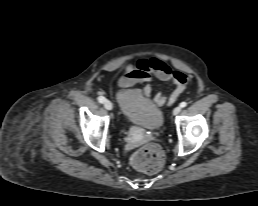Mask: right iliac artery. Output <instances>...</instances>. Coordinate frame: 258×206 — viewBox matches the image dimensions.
Returning <instances> with one entry per match:
<instances>
[{
	"label": "right iliac artery",
	"mask_w": 258,
	"mask_h": 206,
	"mask_svg": "<svg viewBox=\"0 0 258 206\" xmlns=\"http://www.w3.org/2000/svg\"><path fill=\"white\" fill-rule=\"evenodd\" d=\"M98 101H99L100 103H104V102H105V98H104V97H99V98H98Z\"/></svg>",
	"instance_id": "1"
}]
</instances>
